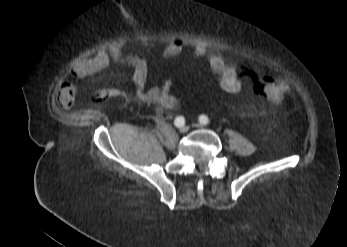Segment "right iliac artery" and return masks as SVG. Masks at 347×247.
<instances>
[{
    "instance_id": "obj_1",
    "label": "right iliac artery",
    "mask_w": 347,
    "mask_h": 247,
    "mask_svg": "<svg viewBox=\"0 0 347 247\" xmlns=\"http://www.w3.org/2000/svg\"><path fill=\"white\" fill-rule=\"evenodd\" d=\"M174 124L175 126L177 127H182L185 125V119L183 116H179V117H176L175 118V121H174Z\"/></svg>"
}]
</instances>
